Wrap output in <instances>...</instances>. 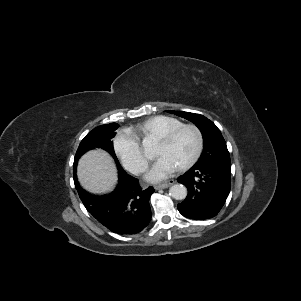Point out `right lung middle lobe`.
I'll list each match as a JSON object with an SVG mask.
<instances>
[{
	"label": "right lung middle lobe",
	"instance_id": "1",
	"mask_svg": "<svg viewBox=\"0 0 301 301\" xmlns=\"http://www.w3.org/2000/svg\"><path fill=\"white\" fill-rule=\"evenodd\" d=\"M118 128V124L110 123L107 125H102L96 127L91 132H89L81 141L78 150L75 155L73 167L76 169L78 159L88 150L94 148H102L108 151L116 163L119 165L117 157L114 152L113 142L111 139L115 135V130Z\"/></svg>",
	"mask_w": 301,
	"mask_h": 301
}]
</instances>
